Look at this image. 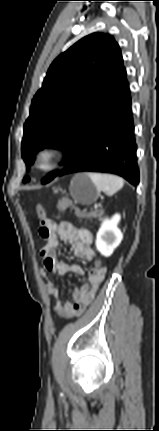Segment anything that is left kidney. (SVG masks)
I'll list each match as a JSON object with an SVG mask.
<instances>
[{
  "label": "left kidney",
  "mask_w": 159,
  "mask_h": 431,
  "mask_svg": "<svg viewBox=\"0 0 159 431\" xmlns=\"http://www.w3.org/2000/svg\"><path fill=\"white\" fill-rule=\"evenodd\" d=\"M120 215L115 214L111 219L103 220L96 236V248L105 257L112 255L122 241V233L118 228Z\"/></svg>",
  "instance_id": "1"
}]
</instances>
